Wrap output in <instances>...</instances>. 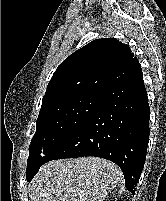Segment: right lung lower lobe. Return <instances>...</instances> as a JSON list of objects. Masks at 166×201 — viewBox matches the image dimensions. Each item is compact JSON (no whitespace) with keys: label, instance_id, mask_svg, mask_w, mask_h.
Returning <instances> with one entry per match:
<instances>
[{"label":"right lung lower lobe","instance_id":"obj_1","mask_svg":"<svg viewBox=\"0 0 166 201\" xmlns=\"http://www.w3.org/2000/svg\"><path fill=\"white\" fill-rule=\"evenodd\" d=\"M149 114L138 64L103 96L95 110L55 148L46 162L83 156L105 158L121 168L125 186L134 194L146 159Z\"/></svg>","mask_w":166,"mask_h":201}]
</instances>
